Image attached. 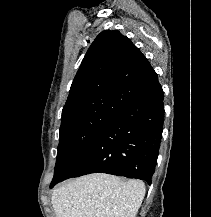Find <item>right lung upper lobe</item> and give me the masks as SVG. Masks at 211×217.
<instances>
[{"label": "right lung upper lobe", "mask_w": 211, "mask_h": 217, "mask_svg": "<svg viewBox=\"0 0 211 217\" xmlns=\"http://www.w3.org/2000/svg\"><path fill=\"white\" fill-rule=\"evenodd\" d=\"M158 83L146 57L114 30L101 32L89 47L62 110V122L95 113H118Z\"/></svg>", "instance_id": "cb5924a9"}]
</instances>
